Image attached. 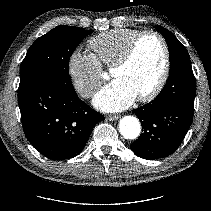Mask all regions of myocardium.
<instances>
[{
	"label": "myocardium",
	"mask_w": 211,
	"mask_h": 211,
	"mask_svg": "<svg viewBox=\"0 0 211 211\" xmlns=\"http://www.w3.org/2000/svg\"><path fill=\"white\" fill-rule=\"evenodd\" d=\"M146 36H153L161 43L163 48V68L155 86L146 94L137 97V100L140 102H149L155 99L163 90L168 80L170 73V51L166 39L155 30L141 31L133 38L120 59L111 67V73L126 67L134 58L140 41Z\"/></svg>",
	"instance_id": "f54148a6"
}]
</instances>
